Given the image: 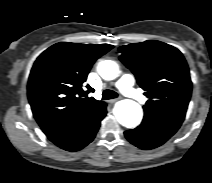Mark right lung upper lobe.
<instances>
[{"label":"right lung upper lobe","mask_w":212,"mask_h":183,"mask_svg":"<svg viewBox=\"0 0 212 183\" xmlns=\"http://www.w3.org/2000/svg\"><path fill=\"white\" fill-rule=\"evenodd\" d=\"M113 46L61 42L35 61L28 81L33 115L46 135L90 119L106 104L82 89L93 63Z\"/></svg>","instance_id":"cb5924a9"}]
</instances>
